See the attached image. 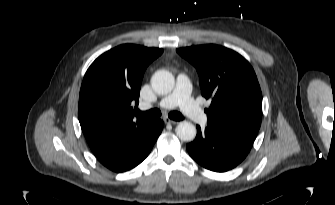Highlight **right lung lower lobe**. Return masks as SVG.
Returning <instances> with one entry per match:
<instances>
[{
	"mask_svg": "<svg viewBox=\"0 0 335 205\" xmlns=\"http://www.w3.org/2000/svg\"><path fill=\"white\" fill-rule=\"evenodd\" d=\"M163 128V121L158 119L156 131L138 146L113 155L98 156L97 159L107 168L115 172L128 171L140 164L150 153L154 143L159 137Z\"/></svg>",
	"mask_w": 335,
	"mask_h": 205,
	"instance_id": "right-lung-lower-lobe-1",
	"label": "right lung lower lobe"
}]
</instances>
